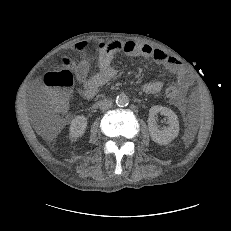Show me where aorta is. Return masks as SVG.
Instances as JSON below:
<instances>
[{"label": "aorta", "instance_id": "aorta-1", "mask_svg": "<svg viewBox=\"0 0 231 231\" xmlns=\"http://www.w3.org/2000/svg\"><path fill=\"white\" fill-rule=\"evenodd\" d=\"M128 103H129V97L126 94L121 93L116 97V104L119 107L127 106Z\"/></svg>", "mask_w": 231, "mask_h": 231}]
</instances>
